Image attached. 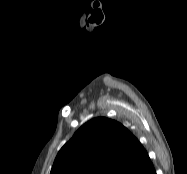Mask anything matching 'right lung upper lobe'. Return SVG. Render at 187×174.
Instances as JSON below:
<instances>
[{
    "label": "right lung upper lobe",
    "mask_w": 187,
    "mask_h": 174,
    "mask_svg": "<svg viewBox=\"0 0 187 174\" xmlns=\"http://www.w3.org/2000/svg\"><path fill=\"white\" fill-rule=\"evenodd\" d=\"M152 162L137 138L117 121L85 123L61 148L50 174H152Z\"/></svg>",
    "instance_id": "right-lung-upper-lobe-1"
}]
</instances>
